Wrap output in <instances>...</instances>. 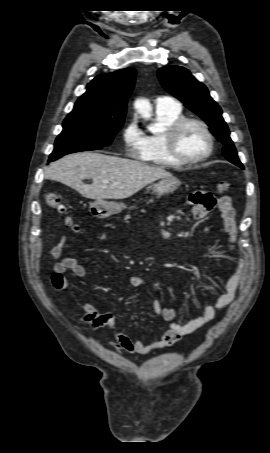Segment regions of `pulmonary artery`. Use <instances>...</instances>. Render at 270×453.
<instances>
[{
    "instance_id": "1",
    "label": "pulmonary artery",
    "mask_w": 270,
    "mask_h": 453,
    "mask_svg": "<svg viewBox=\"0 0 270 453\" xmlns=\"http://www.w3.org/2000/svg\"><path fill=\"white\" fill-rule=\"evenodd\" d=\"M155 107L157 111L178 109L180 104L168 96H160L155 100Z\"/></svg>"
}]
</instances>
